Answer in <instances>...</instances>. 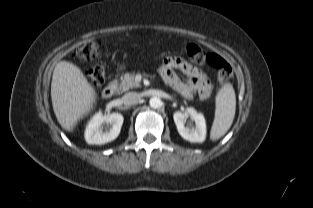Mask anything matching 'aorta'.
Masks as SVG:
<instances>
[{
  "mask_svg": "<svg viewBox=\"0 0 313 208\" xmlns=\"http://www.w3.org/2000/svg\"><path fill=\"white\" fill-rule=\"evenodd\" d=\"M149 104L152 108L157 109L161 107L162 101L159 97H152L149 101Z\"/></svg>",
  "mask_w": 313,
  "mask_h": 208,
  "instance_id": "1",
  "label": "aorta"
}]
</instances>
